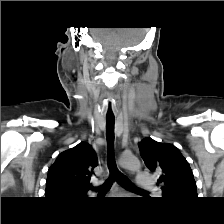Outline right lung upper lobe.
Wrapping results in <instances>:
<instances>
[{
	"label": "right lung upper lobe",
	"mask_w": 224,
	"mask_h": 224,
	"mask_svg": "<svg viewBox=\"0 0 224 224\" xmlns=\"http://www.w3.org/2000/svg\"><path fill=\"white\" fill-rule=\"evenodd\" d=\"M97 163L95 151L85 142L60 153L48 170L46 197L57 200L86 197Z\"/></svg>",
	"instance_id": "cb5924a9"
}]
</instances>
